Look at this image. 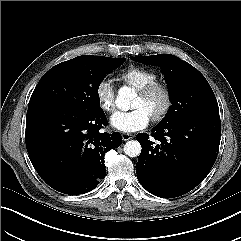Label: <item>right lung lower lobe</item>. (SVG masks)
<instances>
[{"label":"right lung lower lobe","mask_w":241,"mask_h":241,"mask_svg":"<svg viewBox=\"0 0 241 241\" xmlns=\"http://www.w3.org/2000/svg\"><path fill=\"white\" fill-rule=\"evenodd\" d=\"M106 123L102 109L88 114L58 105L28 110L26 147L39 176L69 195L96 188L106 174L105 153L122 143L119 132L99 131Z\"/></svg>","instance_id":"obj_1"}]
</instances>
